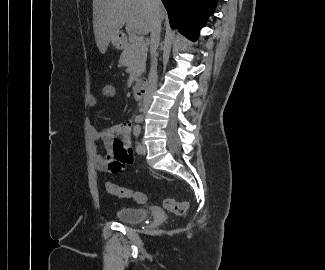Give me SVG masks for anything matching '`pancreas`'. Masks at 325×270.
<instances>
[{
	"label": "pancreas",
	"instance_id": "obj_1",
	"mask_svg": "<svg viewBox=\"0 0 325 270\" xmlns=\"http://www.w3.org/2000/svg\"><path fill=\"white\" fill-rule=\"evenodd\" d=\"M147 51V45L139 47L136 42L130 41L120 56L119 65L133 68L138 78L145 70Z\"/></svg>",
	"mask_w": 325,
	"mask_h": 270
}]
</instances>
